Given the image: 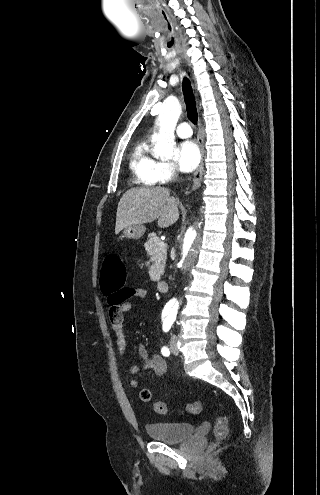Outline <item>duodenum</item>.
<instances>
[{"instance_id": "410a0bca", "label": "duodenum", "mask_w": 320, "mask_h": 495, "mask_svg": "<svg viewBox=\"0 0 320 495\" xmlns=\"http://www.w3.org/2000/svg\"><path fill=\"white\" fill-rule=\"evenodd\" d=\"M157 287H158V290L160 292H167L168 288H169V285H168V282L167 281H164V280H161L158 282L157 284Z\"/></svg>"}]
</instances>
